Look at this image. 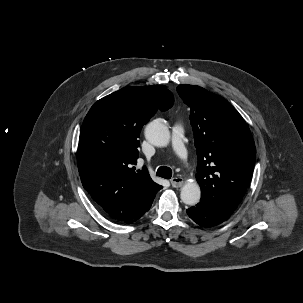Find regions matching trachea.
I'll use <instances>...</instances> for the list:
<instances>
[{
    "mask_svg": "<svg viewBox=\"0 0 303 303\" xmlns=\"http://www.w3.org/2000/svg\"><path fill=\"white\" fill-rule=\"evenodd\" d=\"M156 175L165 179L172 177V170L167 166H161L158 168Z\"/></svg>",
    "mask_w": 303,
    "mask_h": 303,
    "instance_id": "1",
    "label": "trachea"
}]
</instances>
